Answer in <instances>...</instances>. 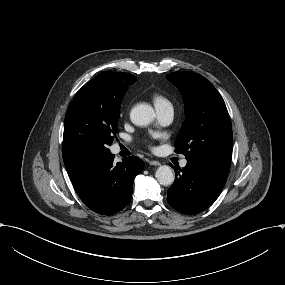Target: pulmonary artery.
I'll list each match as a JSON object with an SVG mask.
<instances>
[{
  "instance_id": "pulmonary-artery-1",
  "label": "pulmonary artery",
  "mask_w": 285,
  "mask_h": 285,
  "mask_svg": "<svg viewBox=\"0 0 285 285\" xmlns=\"http://www.w3.org/2000/svg\"><path fill=\"white\" fill-rule=\"evenodd\" d=\"M157 112H158V115H159V118L164 121V122H168L172 119V116H173V107L172 105L169 103V104H166V105H163L161 107H158L157 108ZM120 152V147L118 145H114L112 147V153L113 154H118ZM181 167H185L187 165V160L186 159H183L180 163Z\"/></svg>"
}]
</instances>
